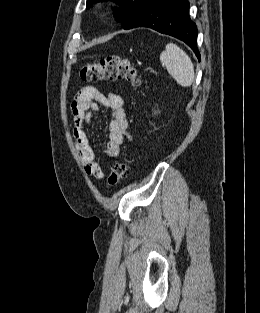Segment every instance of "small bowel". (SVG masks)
I'll use <instances>...</instances> for the list:
<instances>
[{
    "mask_svg": "<svg viewBox=\"0 0 260 313\" xmlns=\"http://www.w3.org/2000/svg\"><path fill=\"white\" fill-rule=\"evenodd\" d=\"M99 105L111 109L112 118L109 127V141L105 148L106 155L109 158H117L121 145L125 139L130 138L123 98L114 93L105 95L95 86L82 87L71 105L74 121L73 135L86 174L97 179L104 177V170L95 161L94 150L86 133L85 125L91 120L92 111L98 110Z\"/></svg>",
    "mask_w": 260,
    "mask_h": 313,
    "instance_id": "obj_1",
    "label": "small bowel"
}]
</instances>
